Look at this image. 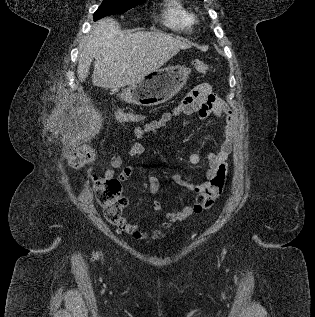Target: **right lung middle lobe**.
Instances as JSON below:
<instances>
[{"instance_id": "right-lung-middle-lobe-1", "label": "right lung middle lobe", "mask_w": 315, "mask_h": 317, "mask_svg": "<svg viewBox=\"0 0 315 317\" xmlns=\"http://www.w3.org/2000/svg\"><path fill=\"white\" fill-rule=\"evenodd\" d=\"M144 0H103V3L94 13V19L98 20L111 14H122L140 4Z\"/></svg>"}]
</instances>
